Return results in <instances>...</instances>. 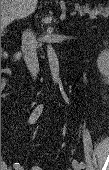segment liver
Masks as SVG:
<instances>
[{"label": "liver", "mask_w": 109, "mask_h": 170, "mask_svg": "<svg viewBox=\"0 0 109 170\" xmlns=\"http://www.w3.org/2000/svg\"><path fill=\"white\" fill-rule=\"evenodd\" d=\"M38 0H1L2 13L1 26L5 28L12 21L22 19L32 14L37 7Z\"/></svg>", "instance_id": "obj_1"}]
</instances>
